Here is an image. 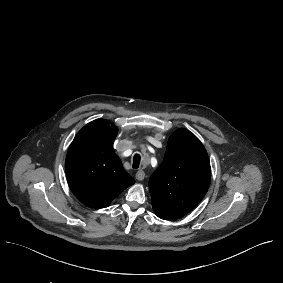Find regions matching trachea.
Listing matches in <instances>:
<instances>
[{
  "instance_id": "1",
  "label": "trachea",
  "mask_w": 283,
  "mask_h": 283,
  "mask_svg": "<svg viewBox=\"0 0 283 283\" xmlns=\"http://www.w3.org/2000/svg\"><path fill=\"white\" fill-rule=\"evenodd\" d=\"M140 161H141V156H140V154H135V155L133 156V164H132V167L135 168V169L139 168Z\"/></svg>"
}]
</instances>
